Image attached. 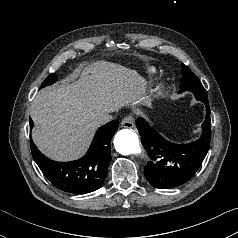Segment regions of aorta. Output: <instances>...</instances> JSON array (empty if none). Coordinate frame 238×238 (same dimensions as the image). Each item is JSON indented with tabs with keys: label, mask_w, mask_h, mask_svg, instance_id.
Returning <instances> with one entry per match:
<instances>
[{
	"label": "aorta",
	"mask_w": 238,
	"mask_h": 238,
	"mask_svg": "<svg viewBox=\"0 0 238 238\" xmlns=\"http://www.w3.org/2000/svg\"><path fill=\"white\" fill-rule=\"evenodd\" d=\"M114 146L122 155L143 154L138 135L131 129H122L114 137Z\"/></svg>",
	"instance_id": "obj_1"
}]
</instances>
